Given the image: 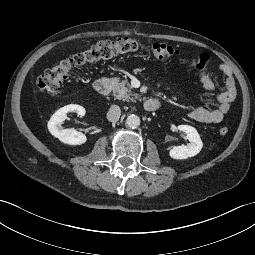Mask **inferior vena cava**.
Segmentation results:
<instances>
[{
	"label": "inferior vena cava",
	"mask_w": 255,
	"mask_h": 255,
	"mask_svg": "<svg viewBox=\"0 0 255 255\" xmlns=\"http://www.w3.org/2000/svg\"><path fill=\"white\" fill-rule=\"evenodd\" d=\"M120 115H121L120 107L117 105H112L108 110L107 119L110 122H116L119 120Z\"/></svg>",
	"instance_id": "inferior-vena-cava-1"
}]
</instances>
